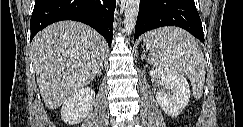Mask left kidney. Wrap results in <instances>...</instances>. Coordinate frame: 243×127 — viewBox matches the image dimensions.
Wrapping results in <instances>:
<instances>
[{
  "label": "left kidney",
  "mask_w": 243,
  "mask_h": 127,
  "mask_svg": "<svg viewBox=\"0 0 243 127\" xmlns=\"http://www.w3.org/2000/svg\"><path fill=\"white\" fill-rule=\"evenodd\" d=\"M150 76L160 80L163 89L156 93V100L162 110L170 117H177L185 109L190 99V87L181 74L162 70H151ZM171 90V92L166 91Z\"/></svg>",
  "instance_id": "5707ae66"
}]
</instances>
